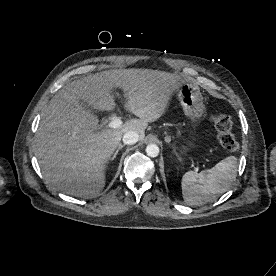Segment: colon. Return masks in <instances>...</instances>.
<instances>
[{
	"mask_svg": "<svg viewBox=\"0 0 276 276\" xmlns=\"http://www.w3.org/2000/svg\"><path fill=\"white\" fill-rule=\"evenodd\" d=\"M211 121L218 133L221 146L231 152L239 149V140L232 133V120L227 114L218 113L211 116Z\"/></svg>",
	"mask_w": 276,
	"mask_h": 276,
	"instance_id": "colon-1",
	"label": "colon"
}]
</instances>
